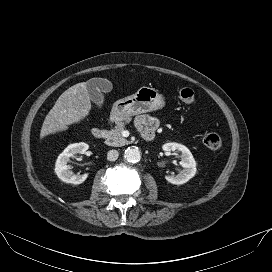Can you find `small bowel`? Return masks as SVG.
Wrapping results in <instances>:
<instances>
[{"mask_svg":"<svg viewBox=\"0 0 272 272\" xmlns=\"http://www.w3.org/2000/svg\"><path fill=\"white\" fill-rule=\"evenodd\" d=\"M158 127V120L152 116L143 115L139 118L138 128L145 138L149 132H154Z\"/></svg>","mask_w":272,"mask_h":272,"instance_id":"obj_1","label":"small bowel"}]
</instances>
